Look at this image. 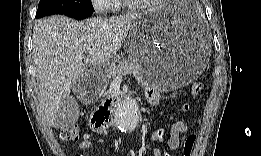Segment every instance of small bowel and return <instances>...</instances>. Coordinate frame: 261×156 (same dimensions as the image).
Returning a JSON list of instances; mask_svg holds the SVG:
<instances>
[{"instance_id":"small-bowel-1","label":"small bowel","mask_w":261,"mask_h":156,"mask_svg":"<svg viewBox=\"0 0 261 156\" xmlns=\"http://www.w3.org/2000/svg\"><path fill=\"white\" fill-rule=\"evenodd\" d=\"M146 96L149 100V102L153 105H158L160 102L159 93L156 89L153 87H146L145 88ZM188 110L187 105H183L180 108V111L186 112ZM189 130L188 124L185 122L179 121L171 125L169 128V136L167 140L168 148L171 151H176L179 148L180 145V135L187 133ZM159 134H155L152 136V142H158L160 140ZM102 141L100 139H93L89 134H84L82 140L79 143V149L81 151L88 150L93 144L95 143H101ZM152 155L153 156H161L167 154H163L162 151L159 148H152Z\"/></svg>"}]
</instances>
